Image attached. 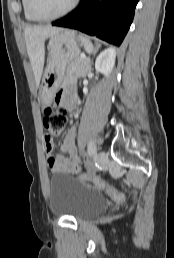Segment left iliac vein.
I'll return each mask as SVG.
<instances>
[{"mask_svg":"<svg viewBox=\"0 0 174 258\" xmlns=\"http://www.w3.org/2000/svg\"><path fill=\"white\" fill-rule=\"evenodd\" d=\"M107 159H108V156L107 154L104 152V151H100L98 154H97V163L99 165H104L106 164L107 162Z\"/></svg>","mask_w":174,"mask_h":258,"instance_id":"1","label":"left iliac vein"}]
</instances>
